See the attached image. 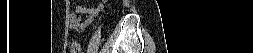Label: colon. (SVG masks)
Returning <instances> with one entry per match:
<instances>
[{
    "label": "colon",
    "mask_w": 253,
    "mask_h": 53,
    "mask_svg": "<svg viewBox=\"0 0 253 53\" xmlns=\"http://www.w3.org/2000/svg\"><path fill=\"white\" fill-rule=\"evenodd\" d=\"M81 52V43L77 40L73 41L71 44V53H80Z\"/></svg>",
    "instance_id": "1"
}]
</instances>
